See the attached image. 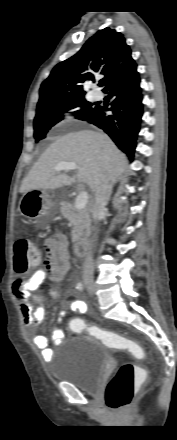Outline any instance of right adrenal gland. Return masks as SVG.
I'll list each match as a JSON object with an SVG mask.
<instances>
[{"mask_svg": "<svg viewBox=\"0 0 177 440\" xmlns=\"http://www.w3.org/2000/svg\"><path fill=\"white\" fill-rule=\"evenodd\" d=\"M116 183H117V180H114V181H112V182L110 183V185H109V190H108L107 201H109L110 196H111V194H112V189H113V187H114V185H115Z\"/></svg>", "mask_w": 177, "mask_h": 440, "instance_id": "1", "label": "right adrenal gland"}]
</instances>
